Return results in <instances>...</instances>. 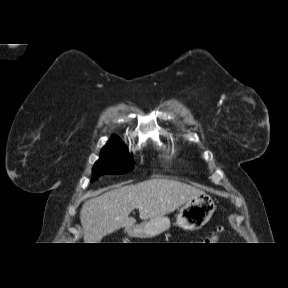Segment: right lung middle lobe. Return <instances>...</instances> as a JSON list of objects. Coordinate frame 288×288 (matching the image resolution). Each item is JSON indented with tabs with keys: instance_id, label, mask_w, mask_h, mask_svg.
<instances>
[{
	"instance_id": "right-lung-middle-lobe-1",
	"label": "right lung middle lobe",
	"mask_w": 288,
	"mask_h": 288,
	"mask_svg": "<svg viewBox=\"0 0 288 288\" xmlns=\"http://www.w3.org/2000/svg\"><path fill=\"white\" fill-rule=\"evenodd\" d=\"M132 156L121 140L109 141L102 149L99 160L92 169V180L106 173L123 174L133 167Z\"/></svg>"
}]
</instances>
